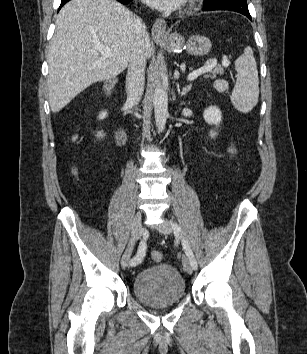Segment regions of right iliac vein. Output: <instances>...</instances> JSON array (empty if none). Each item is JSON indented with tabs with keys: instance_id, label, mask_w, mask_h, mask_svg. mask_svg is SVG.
Returning a JSON list of instances; mask_svg holds the SVG:
<instances>
[{
	"instance_id": "1",
	"label": "right iliac vein",
	"mask_w": 307,
	"mask_h": 354,
	"mask_svg": "<svg viewBox=\"0 0 307 354\" xmlns=\"http://www.w3.org/2000/svg\"><path fill=\"white\" fill-rule=\"evenodd\" d=\"M141 218H142L141 212L137 211L134 218H133V222H132L130 243L121 258V267L123 269H126L128 267V263H129L134 245L141 237V234H142Z\"/></svg>"
}]
</instances>
